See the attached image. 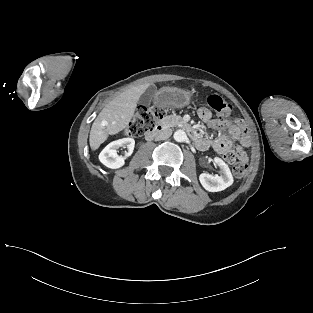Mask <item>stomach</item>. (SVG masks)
Here are the masks:
<instances>
[{
    "label": "stomach",
    "instance_id": "obj_1",
    "mask_svg": "<svg viewBox=\"0 0 313 313\" xmlns=\"http://www.w3.org/2000/svg\"><path fill=\"white\" fill-rule=\"evenodd\" d=\"M192 92L189 90L164 87L155 97V104L164 108H182L190 103Z\"/></svg>",
    "mask_w": 313,
    "mask_h": 313
}]
</instances>
